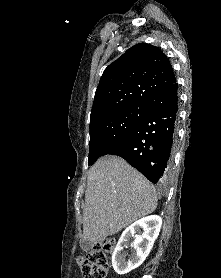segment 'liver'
Wrapping results in <instances>:
<instances>
[{
    "label": "liver",
    "instance_id": "obj_1",
    "mask_svg": "<svg viewBox=\"0 0 221 278\" xmlns=\"http://www.w3.org/2000/svg\"><path fill=\"white\" fill-rule=\"evenodd\" d=\"M156 207L155 187L141 173L120 157H102L87 175L83 240L103 241Z\"/></svg>",
    "mask_w": 221,
    "mask_h": 278
}]
</instances>
